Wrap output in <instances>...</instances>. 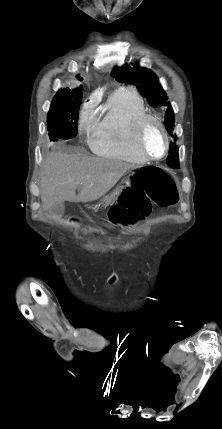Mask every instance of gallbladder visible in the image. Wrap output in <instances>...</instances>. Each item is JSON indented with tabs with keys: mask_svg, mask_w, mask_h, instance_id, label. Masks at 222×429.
Segmentation results:
<instances>
[{
	"mask_svg": "<svg viewBox=\"0 0 222 429\" xmlns=\"http://www.w3.org/2000/svg\"><path fill=\"white\" fill-rule=\"evenodd\" d=\"M64 209H65V206H64V203L62 202V203H58L57 205H55V206L51 209V212H52L53 214L63 215V214H64Z\"/></svg>",
	"mask_w": 222,
	"mask_h": 429,
	"instance_id": "bac80fb5",
	"label": "gallbladder"
}]
</instances>
